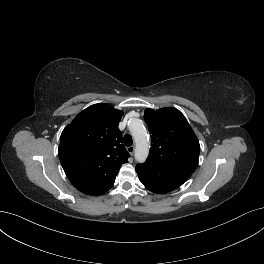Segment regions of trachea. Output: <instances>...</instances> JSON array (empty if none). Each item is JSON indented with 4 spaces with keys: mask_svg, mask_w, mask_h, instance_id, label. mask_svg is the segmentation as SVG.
Masks as SVG:
<instances>
[{
    "mask_svg": "<svg viewBox=\"0 0 264 264\" xmlns=\"http://www.w3.org/2000/svg\"><path fill=\"white\" fill-rule=\"evenodd\" d=\"M123 142L126 146H131L133 143L132 137L130 134H125L123 138Z\"/></svg>",
    "mask_w": 264,
    "mask_h": 264,
    "instance_id": "3493384b",
    "label": "trachea"
}]
</instances>
